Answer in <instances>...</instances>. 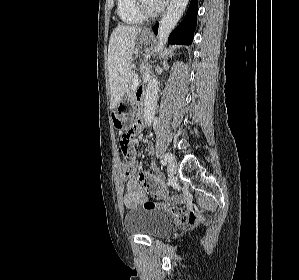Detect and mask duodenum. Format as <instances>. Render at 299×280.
I'll list each match as a JSON object with an SVG mask.
<instances>
[{
  "label": "duodenum",
  "instance_id": "duodenum-1",
  "mask_svg": "<svg viewBox=\"0 0 299 280\" xmlns=\"http://www.w3.org/2000/svg\"><path fill=\"white\" fill-rule=\"evenodd\" d=\"M137 100H138V106H139L140 114L143 118L144 117V97H143L142 93L137 95Z\"/></svg>",
  "mask_w": 299,
  "mask_h": 280
}]
</instances>
